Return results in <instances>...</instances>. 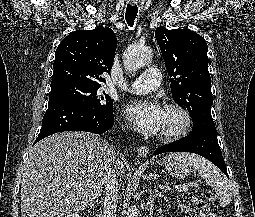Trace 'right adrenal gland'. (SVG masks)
I'll list each match as a JSON object with an SVG mask.
<instances>
[{"label": "right adrenal gland", "instance_id": "2a0ac1e0", "mask_svg": "<svg viewBox=\"0 0 255 217\" xmlns=\"http://www.w3.org/2000/svg\"><path fill=\"white\" fill-rule=\"evenodd\" d=\"M98 204H102L103 205V201L101 200V201H98Z\"/></svg>", "mask_w": 255, "mask_h": 217}]
</instances>
